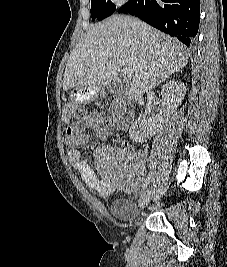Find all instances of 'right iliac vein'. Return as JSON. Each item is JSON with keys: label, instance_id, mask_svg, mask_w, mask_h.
<instances>
[{"label": "right iliac vein", "instance_id": "1", "mask_svg": "<svg viewBox=\"0 0 227 267\" xmlns=\"http://www.w3.org/2000/svg\"><path fill=\"white\" fill-rule=\"evenodd\" d=\"M154 196V191L151 189V190H148L146 191L140 198V201H139V210H143L144 207L150 202V200L153 198Z\"/></svg>", "mask_w": 227, "mask_h": 267}]
</instances>
